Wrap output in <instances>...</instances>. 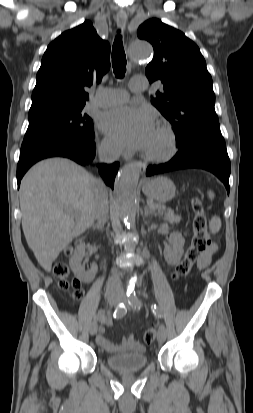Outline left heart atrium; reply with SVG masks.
I'll use <instances>...</instances> for the list:
<instances>
[{
    "label": "left heart atrium",
    "mask_w": 253,
    "mask_h": 413,
    "mask_svg": "<svg viewBox=\"0 0 253 413\" xmlns=\"http://www.w3.org/2000/svg\"><path fill=\"white\" fill-rule=\"evenodd\" d=\"M101 127L123 145L146 148L155 125L152 114L142 107H120L105 113Z\"/></svg>",
    "instance_id": "obj_1"
}]
</instances>
